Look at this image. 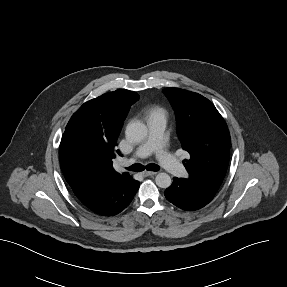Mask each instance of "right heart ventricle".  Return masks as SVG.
Wrapping results in <instances>:
<instances>
[{"mask_svg": "<svg viewBox=\"0 0 287 287\" xmlns=\"http://www.w3.org/2000/svg\"><path fill=\"white\" fill-rule=\"evenodd\" d=\"M148 119H161L166 121L167 111L161 106H154L145 111Z\"/></svg>", "mask_w": 287, "mask_h": 287, "instance_id": "obj_1", "label": "right heart ventricle"}]
</instances>
